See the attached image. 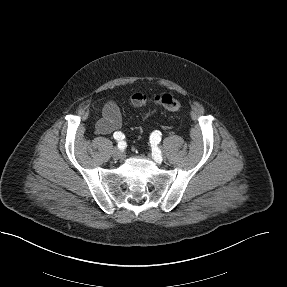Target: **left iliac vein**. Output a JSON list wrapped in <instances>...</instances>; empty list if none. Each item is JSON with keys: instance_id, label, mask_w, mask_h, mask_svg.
<instances>
[{"instance_id": "left-iliac-vein-1", "label": "left iliac vein", "mask_w": 287, "mask_h": 287, "mask_svg": "<svg viewBox=\"0 0 287 287\" xmlns=\"http://www.w3.org/2000/svg\"><path fill=\"white\" fill-rule=\"evenodd\" d=\"M154 160H155V162L158 163V164H160V163L163 161V156H162V154H161L160 151L157 152V153H155V155H154Z\"/></svg>"}]
</instances>
